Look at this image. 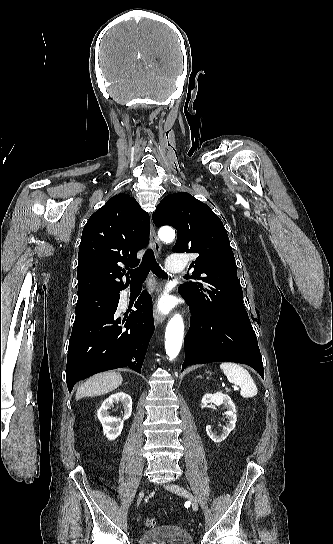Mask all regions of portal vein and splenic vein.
Returning a JSON list of instances; mask_svg holds the SVG:
<instances>
[{"label": "portal vein and splenic vein", "mask_w": 333, "mask_h": 544, "mask_svg": "<svg viewBox=\"0 0 333 544\" xmlns=\"http://www.w3.org/2000/svg\"><path fill=\"white\" fill-rule=\"evenodd\" d=\"M234 390H238V387L237 386H232Z\"/></svg>", "instance_id": "18ae733b"}]
</instances>
